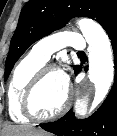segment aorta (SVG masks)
Returning <instances> with one entry per match:
<instances>
[{"instance_id":"aorta-1","label":"aorta","mask_w":117,"mask_h":136,"mask_svg":"<svg viewBox=\"0 0 117 136\" xmlns=\"http://www.w3.org/2000/svg\"><path fill=\"white\" fill-rule=\"evenodd\" d=\"M78 26L84 35L88 47L90 82L95 87L93 104L97 105L106 97L114 79V61L111 43L104 29L91 19H81ZM90 95L84 92L75 103V113L87 112Z\"/></svg>"}]
</instances>
